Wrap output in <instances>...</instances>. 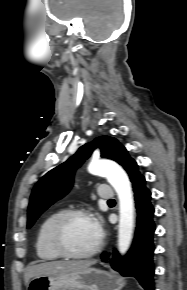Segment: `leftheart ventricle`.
<instances>
[{
    "label": "left heart ventricle",
    "mask_w": 187,
    "mask_h": 290,
    "mask_svg": "<svg viewBox=\"0 0 187 290\" xmlns=\"http://www.w3.org/2000/svg\"><path fill=\"white\" fill-rule=\"evenodd\" d=\"M64 238L65 243L71 250L86 252L97 243L99 232L92 219L76 217L67 223Z\"/></svg>",
    "instance_id": "1"
}]
</instances>
